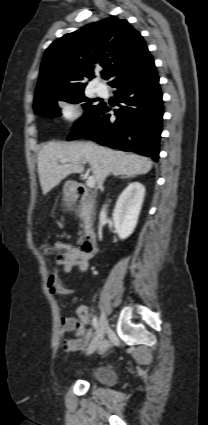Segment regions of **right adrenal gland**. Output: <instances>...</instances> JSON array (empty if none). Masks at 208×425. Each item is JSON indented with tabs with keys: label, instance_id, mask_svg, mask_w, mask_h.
<instances>
[{
	"label": "right adrenal gland",
	"instance_id": "1",
	"mask_svg": "<svg viewBox=\"0 0 208 425\" xmlns=\"http://www.w3.org/2000/svg\"><path fill=\"white\" fill-rule=\"evenodd\" d=\"M121 178H129V177H128V176L123 175V176H121Z\"/></svg>",
	"mask_w": 208,
	"mask_h": 425
}]
</instances>
